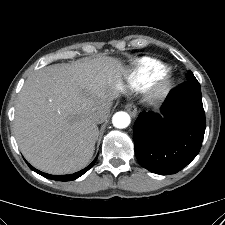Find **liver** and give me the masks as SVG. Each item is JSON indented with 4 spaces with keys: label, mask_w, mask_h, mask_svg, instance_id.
<instances>
[{
    "label": "liver",
    "mask_w": 225,
    "mask_h": 225,
    "mask_svg": "<svg viewBox=\"0 0 225 225\" xmlns=\"http://www.w3.org/2000/svg\"><path fill=\"white\" fill-rule=\"evenodd\" d=\"M121 62L85 58L40 69L24 83L15 109L20 151L35 168L69 174L91 160L98 136L93 114L119 96Z\"/></svg>",
    "instance_id": "obj_1"
}]
</instances>
